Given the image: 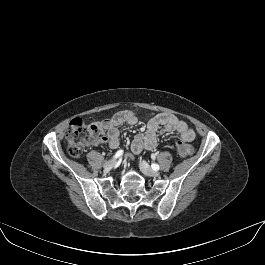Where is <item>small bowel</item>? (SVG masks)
<instances>
[{
	"label": "small bowel",
	"mask_w": 265,
	"mask_h": 265,
	"mask_svg": "<svg viewBox=\"0 0 265 265\" xmlns=\"http://www.w3.org/2000/svg\"><path fill=\"white\" fill-rule=\"evenodd\" d=\"M138 123V116L131 110H123L114 114L111 118L99 121L95 124L101 138L99 142L107 143L112 149L119 146V128L122 125L133 126ZM176 132L183 142H192L195 132L188 124L169 113H160L152 117L144 133L136 135L131 143L132 153L141 154L145 150H153L157 146L158 135L161 133Z\"/></svg>",
	"instance_id": "c3829d8e"
}]
</instances>
